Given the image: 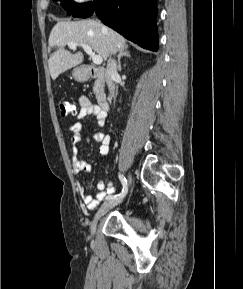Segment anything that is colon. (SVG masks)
Returning <instances> with one entry per match:
<instances>
[{"mask_svg":"<svg viewBox=\"0 0 243 289\" xmlns=\"http://www.w3.org/2000/svg\"><path fill=\"white\" fill-rule=\"evenodd\" d=\"M59 110L62 116L74 115L76 113L75 105L70 101H61Z\"/></svg>","mask_w":243,"mask_h":289,"instance_id":"colon-1","label":"colon"}]
</instances>
